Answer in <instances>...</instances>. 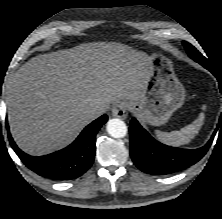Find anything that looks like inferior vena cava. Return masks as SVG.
Wrapping results in <instances>:
<instances>
[{"mask_svg":"<svg viewBox=\"0 0 222 219\" xmlns=\"http://www.w3.org/2000/svg\"><path fill=\"white\" fill-rule=\"evenodd\" d=\"M106 111H107V108L102 107V106H97L92 109L91 113L95 116H100L103 113H105Z\"/></svg>","mask_w":222,"mask_h":219,"instance_id":"inferior-vena-cava-1","label":"inferior vena cava"}]
</instances>
